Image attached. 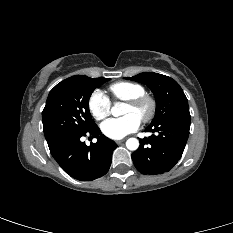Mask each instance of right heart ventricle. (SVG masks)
I'll return each instance as SVG.
<instances>
[{
  "label": "right heart ventricle",
  "instance_id": "obj_1",
  "mask_svg": "<svg viewBox=\"0 0 233 233\" xmlns=\"http://www.w3.org/2000/svg\"><path fill=\"white\" fill-rule=\"evenodd\" d=\"M108 91L112 99L116 101H127L145 94L142 85L129 81L115 82L108 87Z\"/></svg>",
  "mask_w": 233,
  "mask_h": 233
}]
</instances>
